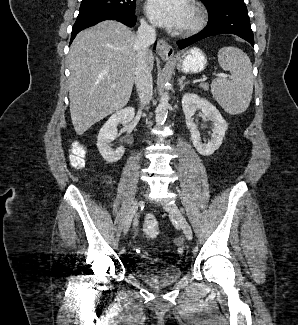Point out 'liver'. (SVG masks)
<instances>
[{"label": "liver", "mask_w": 298, "mask_h": 325, "mask_svg": "<svg viewBox=\"0 0 298 325\" xmlns=\"http://www.w3.org/2000/svg\"><path fill=\"white\" fill-rule=\"evenodd\" d=\"M136 40L135 32L117 20H103L75 36L68 58L70 114L76 134L127 104L138 58ZM149 64H154L152 52Z\"/></svg>", "instance_id": "6515ba94"}]
</instances>
